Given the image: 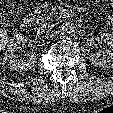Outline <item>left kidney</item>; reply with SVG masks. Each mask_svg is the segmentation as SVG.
<instances>
[{
    "label": "left kidney",
    "instance_id": "5707ae66",
    "mask_svg": "<svg viewBox=\"0 0 113 113\" xmlns=\"http://www.w3.org/2000/svg\"><path fill=\"white\" fill-rule=\"evenodd\" d=\"M96 41H103L104 43H107L109 49L103 57H101L99 52L91 54L89 56L90 61L95 66L103 68L113 67V35L108 33H99L96 37Z\"/></svg>",
    "mask_w": 113,
    "mask_h": 113
}]
</instances>
